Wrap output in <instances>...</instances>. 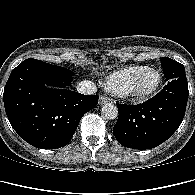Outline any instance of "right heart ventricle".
<instances>
[{"label": "right heart ventricle", "instance_id": "1", "mask_svg": "<svg viewBox=\"0 0 195 195\" xmlns=\"http://www.w3.org/2000/svg\"><path fill=\"white\" fill-rule=\"evenodd\" d=\"M144 68L146 67L129 66L112 72L105 80L106 89L114 94L122 95L127 90L131 80Z\"/></svg>", "mask_w": 195, "mask_h": 195}]
</instances>
